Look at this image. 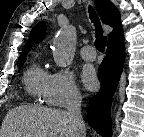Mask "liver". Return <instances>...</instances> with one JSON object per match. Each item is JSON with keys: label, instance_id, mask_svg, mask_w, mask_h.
<instances>
[{"label": "liver", "instance_id": "obj_1", "mask_svg": "<svg viewBox=\"0 0 144 137\" xmlns=\"http://www.w3.org/2000/svg\"><path fill=\"white\" fill-rule=\"evenodd\" d=\"M75 134L67 111L24 105L6 114L0 137H75Z\"/></svg>", "mask_w": 144, "mask_h": 137}]
</instances>
